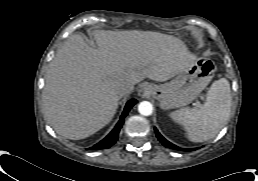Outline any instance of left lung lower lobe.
Returning <instances> with one entry per match:
<instances>
[{"instance_id": "0a47b994", "label": "left lung lower lobe", "mask_w": 258, "mask_h": 181, "mask_svg": "<svg viewBox=\"0 0 258 181\" xmlns=\"http://www.w3.org/2000/svg\"><path fill=\"white\" fill-rule=\"evenodd\" d=\"M155 132H156V136L158 138V140L167 148H171L174 150H184V151H189V150H194V149H182L177 147L176 145L170 143L169 141H167L159 132L158 130L155 128Z\"/></svg>"}]
</instances>
